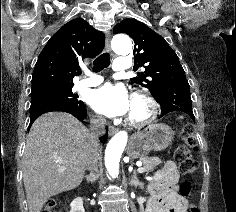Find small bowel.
I'll use <instances>...</instances> for the list:
<instances>
[{
    "mask_svg": "<svg viewBox=\"0 0 236 212\" xmlns=\"http://www.w3.org/2000/svg\"><path fill=\"white\" fill-rule=\"evenodd\" d=\"M179 173L173 161H168L156 173L148 188L152 194L146 212H187L188 202L176 189Z\"/></svg>",
    "mask_w": 236,
    "mask_h": 212,
    "instance_id": "c3829d8e",
    "label": "small bowel"
}]
</instances>
